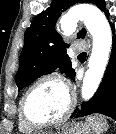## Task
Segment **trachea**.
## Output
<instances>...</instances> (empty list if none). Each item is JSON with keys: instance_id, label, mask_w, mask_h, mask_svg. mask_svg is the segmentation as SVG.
Returning a JSON list of instances; mask_svg holds the SVG:
<instances>
[{"instance_id": "3493384b", "label": "trachea", "mask_w": 116, "mask_h": 134, "mask_svg": "<svg viewBox=\"0 0 116 134\" xmlns=\"http://www.w3.org/2000/svg\"><path fill=\"white\" fill-rule=\"evenodd\" d=\"M79 57H86V53H81L78 55Z\"/></svg>"}]
</instances>
